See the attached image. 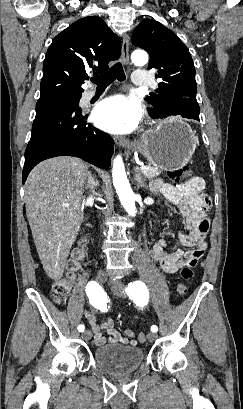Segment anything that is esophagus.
Returning <instances> with one entry per match:
<instances>
[{
    "label": "esophagus",
    "instance_id": "1",
    "mask_svg": "<svg viewBox=\"0 0 243 409\" xmlns=\"http://www.w3.org/2000/svg\"><path fill=\"white\" fill-rule=\"evenodd\" d=\"M122 61L125 65L129 64V36L125 34L122 41ZM114 141L116 144L123 146L125 148H133L136 146V143L131 142L129 139L122 136H115Z\"/></svg>",
    "mask_w": 243,
    "mask_h": 409
}]
</instances>
